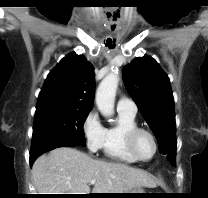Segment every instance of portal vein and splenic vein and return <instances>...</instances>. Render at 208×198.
Masks as SVG:
<instances>
[{
  "label": "portal vein and splenic vein",
  "instance_id": "1",
  "mask_svg": "<svg viewBox=\"0 0 208 198\" xmlns=\"http://www.w3.org/2000/svg\"><path fill=\"white\" fill-rule=\"evenodd\" d=\"M95 180L94 179H92L91 181H90V184H95Z\"/></svg>",
  "mask_w": 208,
  "mask_h": 198
}]
</instances>
